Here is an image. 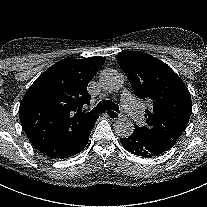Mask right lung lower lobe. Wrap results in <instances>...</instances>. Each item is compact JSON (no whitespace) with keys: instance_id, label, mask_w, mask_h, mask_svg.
I'll list each match as a JSON object with an SVG mask.
<instances>
[{"instance_id":"obj_1","label":"right lung lower lobe","mask_w":207,"mask_h":207,"mask_svg":"<svg viewBox=\"0 0 207 207\" xmlns=\"http://www.w3.org/2000/svg\"><path fill=\"white\" fill-rule=\"evenodd\" d=\"M97 119L98 117L94 118L93 121L89 123V125L80 133L77 138L62 146L60 151L54 152L47 156L55 159H64L79 153L87 145L89 135Z\"/></svg>"}]
</instances>
